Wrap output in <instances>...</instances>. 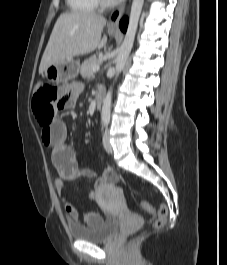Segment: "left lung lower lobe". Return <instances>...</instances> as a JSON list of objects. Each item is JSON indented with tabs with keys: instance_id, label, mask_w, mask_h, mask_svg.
I'll list each match as a JSON object with an SVG mask.
<instances>
[{
	"instance_id": "1",
	"label": "left lung lower lobe",
	"mask_w": 227,
	"mask_h": 265,
	"mask_svg": "<svg viewBox=\"0 0 227 265\" xmlns=\"http://www.w3.org/2000/svg\"><path fill=\"white\" fill-rule=\"evenodd\" d=\"M127 25H128V19L126 17H124L121 21H120V29L123 31V32H126V29H127Z\"/></svg>"
}]
</instances>
